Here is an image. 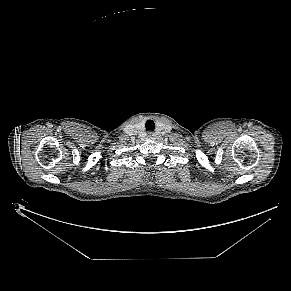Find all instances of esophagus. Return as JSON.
Returning <instances> with one entry per match:
<instances>
[{"mask_svg": "<svg viewBox=\"0 0 291 291\" xmlns=\"http://www.w3.org/2000/svg\"><path fill=\"white\" fill-rule=\"evenodd\" d=\"M148 137H149L150 139H153V138L155 137V133H153V132H149V133H148Z\"/></svg>", "mask_w": 291, "mask_h": 291, "instance_id": "obj_1", "label": "esophagus"}]
</instances>
